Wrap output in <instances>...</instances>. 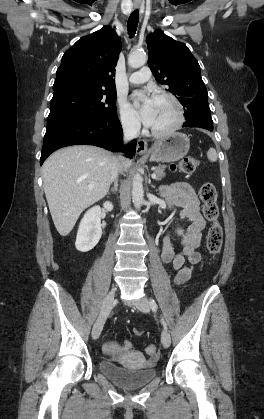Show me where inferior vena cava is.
I'll return each mask as SVG.
<instances>
[{
    "label": "inferior vena cava",
    "mask_w": 264,
    "mask_h": 419,
    "mask_svg": "<svg viewBox=\"0 0 264 419\" xmlns=\"http://www.w3.org/2000/svg\"><path fill=\"white\" fill-rule=\"evenodd\" d=\"M123 127V138L125 142L135 139L139 132L141 125L140 123L132 118H128L122 122ZM124 158L122 156H115L112 164V181L117 182L118 174L122 170L121 161Z\"/></svg>",
    "instance_id": "inferior-vena-cava-1"
}]
</instances>
